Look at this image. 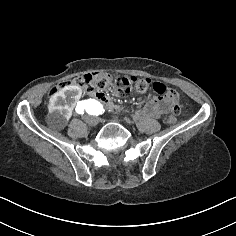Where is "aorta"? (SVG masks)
I'll return each mask as SVG.
<instances>
[{"mask_svg": "<svg viewBox=\"0 0 236 236\" xmlns=\"http://www.w3.org/2000/svg\"><path fill=\"white\" fill-rule=\"evenodd\" d=\"M97 106H100V103L96 100L93 99H89L87 101L84 102V112H92L93 110H95V108H97Z\"/></svg>", "mask_w": 236, "mask_h": 236, "instance_id": "762f6f07", "label": "aorta"}]
</instances>
